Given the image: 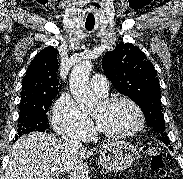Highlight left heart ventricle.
Segmentation results:
<instances>
[{
  "mask_svg": "<svg viewBox=\"0 0 183 179\" xmlns=\"http://www.w3.org/2000/svg\"><path fill=\"white\" fill-rule=\"evenodd\" d=\"M92 116L101 129L111 133L128 132L138 124L135 109L126 102H118L111 106L101 103Z\"/></svg>",
  "mask_w": 183,
  "mask_h": 179,
  "instance_id": "1",
  "label": "left heart ventricle"
}]
</instances>
